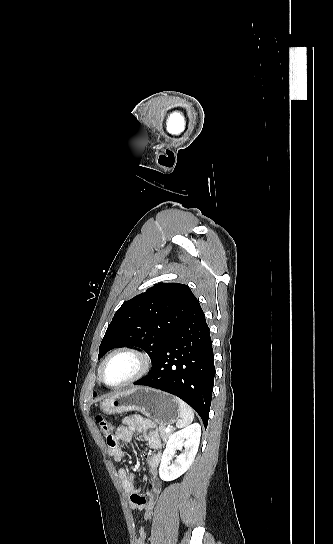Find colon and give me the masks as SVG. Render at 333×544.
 Instances as JSON below:
<instances>
[{"instance_id":"1","label":"colon","mask_w":333,"mask_h":544,"mask_svg":"<svg viewBox=\"0 0 333 544\" xmlns=\"http://www.w3.org/2000/svg\"><path fill=\"white\" fill-rule=\"evenodd\" d=\"M95 421L100 432L109 439L112 435L110 423L101 415H97Z\"/></svg>"}]
</instances>
